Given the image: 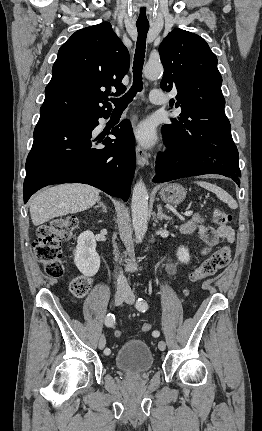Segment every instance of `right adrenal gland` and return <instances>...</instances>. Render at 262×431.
Listing matches in <instances>:
<instances>
[{
	"label": "right adrenal gland",
	"mask_w": 262,
	"mask_h": 431,
	"mask_svg": "<svg viewBox=\"0 0 262 431\" xmlns=\"http://www.w3.org/2000/svg\"><path fill=\"white\" fill-rule=\"evenodd\" d=\"M98 207H102L104 212L105 213L107 212L106 206L103 204V202L100 201V198H99L97 206H95L94 208H98Z\"/></svg>",
	"instance_id": "obj_1"
}]
</instances>
